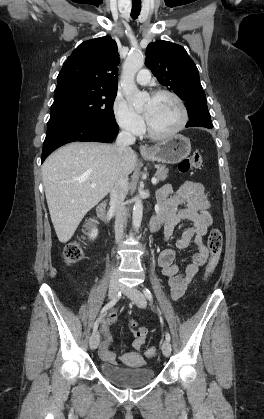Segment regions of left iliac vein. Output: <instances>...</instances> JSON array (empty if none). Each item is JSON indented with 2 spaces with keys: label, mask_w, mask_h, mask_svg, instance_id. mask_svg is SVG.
<instances>
[{
  "label": "left iliac vein",
  "mask_w": 264,
  "mask_h": 419,
  "mask_svg": "<svg viewBox=\"0 0 264 419\" xmlns=\"http://www.w3.org/2000/svg\"><path fill=\"white\" fill-rule=\"evenodd\" d=\"M122 292L129 297L138 307L144 308L146 306V298L144 294L137 288L122 287ZM162 352L168 357L171 354V344L165 340L162 344Z\"/></svg>",
  "instance_id": "1"
}]
</instances>
